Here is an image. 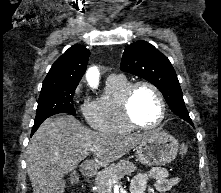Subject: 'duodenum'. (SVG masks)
I'll return each mask as SVG.
<instances>
[{"label": "duodenum", "mask_w": 221, "mask_h": 193, "mask_svg": "<svg viewBox=\"0 0 221 193\" xmlns=\"http://www.w3.org/2000/svg\"><path fill=\"white\" fill-rule=\"evenodd\" d=\"M81 172L85 178H91L94 173V168L90 163L85 162L81 166Z\"/></svg>", "instance_id": "1"}]
</instances>
